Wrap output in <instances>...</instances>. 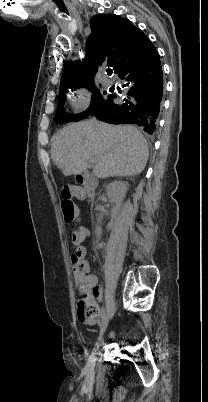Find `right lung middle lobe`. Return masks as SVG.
<instances>
[{
	"label": "right lung middle lobe",
	"mask_w": 208,
	"mask_h": 402,
	"mask_svg": "<svg viewBox=\"0 0 208 402\" xmlns=\"http://www.w3.org/2000/svg\"><path fill=\"white\" fill-rule=\"evenodd\" d=\"M78 87H86L88 88L91 92H93V97L91 101L90 107L82 112L81 114H76V115H69L64 113V109L62 106V99H59L58 103V109H57V114H56V121L61 123V122H70V121H78L87 118L90 115H94L96 112L108 109L111 106V103L113 102V95H109L107 98H104L99 90L95 87L94 81L87 82L85 84L70 88L71 91H73L74 88ZM61 92H68V89L62 90ZM106 92H104L105 94Z\"/></svg>",
	"instance_id": "dd1d6c3e"
}]
</instances>
